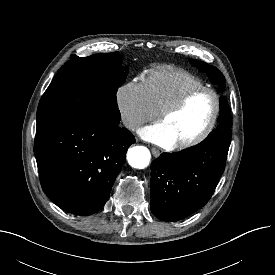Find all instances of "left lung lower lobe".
<instances>
[{"label": "left lung lower lobe", "mask_w": 275, "mask_h": 275, "mask_svg": "<svg viewBox=\"0 0 275 275\" xmlns=\"http://www.w3.org/2000/svg\"><path fill=\"white\" fill-rule=\"evenodd\" d=\"M230 143L231 136L213 134L191 149L163 153L152 161V213L174 222L203 207L224 172Z\"/></svg>", "instance_id": "0a47b994"}]
</instances>
